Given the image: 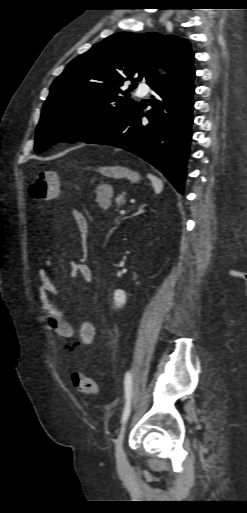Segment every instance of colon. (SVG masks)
<instances>
[{
  "label": "colon",
  "instance_id": "colon-1",
  "mask_svg": "<svg viewBox=\"0 0 247 513\" xmlns=\"http://www.w3.org/2000/svg\"><path fill=\"white\" fill-rule=\"evenodd\" d=\"M96 199L99 204L106 207L110 204L111 186L107 182H100L96 186ZM29 194L33 200H55L59 195V180L57 174L52 171L38 173L29 187ZM73 386L86 394H94L96 386L91 377L74 373L72 375Z\"/></svg>",
  "mask_w": 247,
  "mask_h": 513
}]
</instances>
